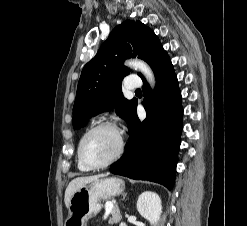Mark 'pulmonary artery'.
Returning a JSON list of instances; mask_svg holds the SVG:
<instances>
[{
	"mask_svg": "<svg viewBox=\"0 0 247 226\" xmlns=\"http://www.w3.org/2000/svg\"><path fill=\"white\" fill-rule=\"evenodd\" d=\"M142 82L139 77L137 76H129L125 81V88L128 90H135L140 88Z\"/></svg>",
	"mask_w": 247,
	"mask_h": 226,
	"instance_id": "obj_1",
	"label": "pulmonary artery"
}]
</instances>
